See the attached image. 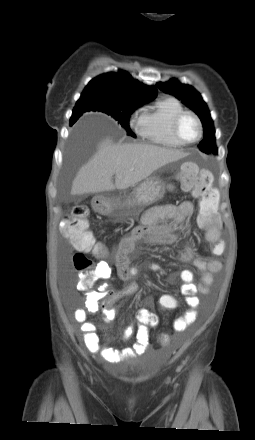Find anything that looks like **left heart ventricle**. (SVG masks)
I'll return each mask as SVG.
<instances>
[{"mask_svg": "<svg viewBox=\"0 0 255 440\" xmlns=\"http://www.w3.org/2000/svg\"><path fill=\"white\" fill-rule=\"evenodd\" d=\"M179 132L185 140L187 141L194 140L198 135V126L195 120L190 116H186L181 121Z\"/></svg>", "mask_w": 255, "mask_h": 440, "instance_id": "left-heart-ventricle-1", "label": "left heart ventricle"}]
</instances>
